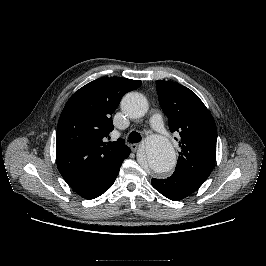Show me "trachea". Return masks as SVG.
<instances>
[{
    "instance_id": "1",
    "label": "trachea",
    "mask_w": 266,
    "mask_h": 266,
    "mask_svg": "<svg viewBox=\"0 0 266 266\" xmlns=\"http://www.w3.org/2000/svg\"><path fill=\"white\" fill-rule=\"evenodd\" d=\"M141 139H142L141 135L136 131H132L128 137V141L131 143H138L141 141Z\"/></svg>"
}]
</instances>
